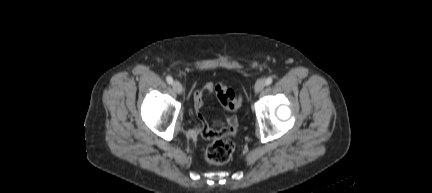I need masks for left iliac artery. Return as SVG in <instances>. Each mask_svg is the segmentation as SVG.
Returning <instances> with one entry per match:
<instances>
[{
  "mask_svg": "<svg viewBox=\"0 0 432 193\" xmlns=\"http://www.w3.org/2000/svg\"><path fill=\"white\" fill-rule=\"evenodd\" d=\"M273 82V78L272 77H268L265 81V84L268 86Z\"/></svg>",
  "mask_w": 432,
  "mask_h": 193,
  "instance_id": "obj_1",
  "label": "left iliac artery"
}]
</instances>
